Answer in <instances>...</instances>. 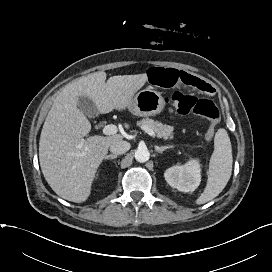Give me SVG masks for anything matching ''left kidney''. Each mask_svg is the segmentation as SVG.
Segmentation results:
<instances>
[{"instance_id":"1","label":"left kidney","mask_w":272,"mask_h":272,"mask_svg":"<svg viewBox=\"0 0 272 272\" xmlns=\"http://www.w3.org/2000/svg\"><path fill=\"white\" fill-rule=\"evenodd\" d=\"M167 183L182 192H193L201 182V165L191 159L184 165H175L164 173Z\"/></svg>"}]
</instances>
